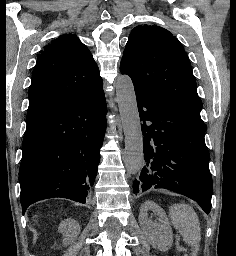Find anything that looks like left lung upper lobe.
<instances>
[{
    "mask_svg": "<svg viewBox=\"0 0 236 256\" xmlns=\"http://www.w3.org/2000/svg\"><path fill=\"white\" fill-rule=\"evenodd\" d=\"M135 91L200 116L191 64L181 43L166 29L140 25L129 35L120 65Z\"/></svg>",
    "mask_w": 236,
    "mask_h": 256,
    "instance_id": "obj_1",
    "label": "left lung upper lobe"
}]
</instances>
